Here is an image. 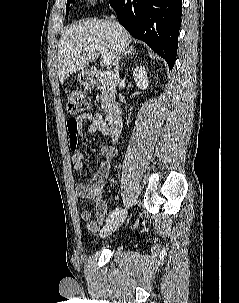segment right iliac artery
I'll return each mask as SVG.
<instances>
[{"label": "right iliac artery", "instance_id": "82829eb1", "mask_svg": "<svg viewBox=\"0 0 239 303\" xmlns=\"http://www.w3.org/2000/svg\"><path fill=\"white\" fill-rule=\"evenodd\" d=\"M120 212V208H116L115 210H113V212L108 216V218L106 219V222H110V220L114 219Z\"/></svg>", "mask_w": 239, "mask_h": 303}]
</instances>
